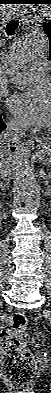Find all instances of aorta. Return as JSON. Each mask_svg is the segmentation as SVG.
I'll return each mask as SVG.
<instances>
[{
    "mask_svg": "<svg viewBox=\"0 0 51 393\" xmlns=\"http://www.w3.org/2000/svg\"><path fill=\"white\" fill-rule=\"evenodd\" d=\"M48 52L49 40L46 34L42 31L30 32L21 35L15 41L11 49V59L22 65L42 58ZM31 153L32 141H26L16 148L13 161L21 198L28 208L37 210L40 207L41 196L30 165Z\"/></svg>",
    "mask_w": 51,
    "mask_h": 393,
    "instance_id": "obj_1",
    "label": "aorta"
}]
</instances>
